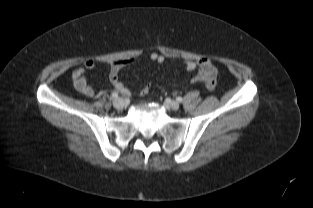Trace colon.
Returning a JSON list of instances; mask_svg holds the SVG:
<instances>
[{
  "mask_svg": "<svg viewBox=\"0 0 313 208\" xmlns=\"http://www.w3.org/2000/svg\"><path fill=\"white\" fill-rule=\"evenodd\" d=\"M205 87L210 90L213 91L216 89L217 87V80H216V75H211L210 77H208L205 82ZM149 92V85L145 86L142 90L141 93L142 94H147Z\"/></svg>",
  "mask_w": 313,
  "mask_h": 208,
  "instance_id": "5ec220e1",
  "label": "colon"
}]
</instances>
